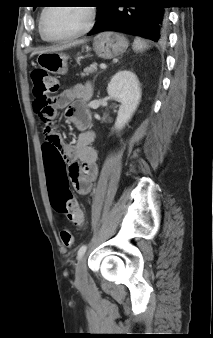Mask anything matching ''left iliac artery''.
<instances>
[{"mask_svg":"<svg viewBox=\"0 0 213 338\" xmlns=\"http://www.w3.org/2000/svg\"><path fill=\"white\" fill-rule=\"evenodd\" d=\"M87 247L88 246L86 244H84L79 248V250L77 252V259L78 260H80L83 257V255L85 254V252L87 250Z\"/></svg>","mask_w":213,"mask_h":338,"instance_id":"1","label":"left iliac artery"}]
</instances>
